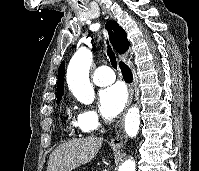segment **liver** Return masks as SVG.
I'll list each match as a JSON object with an SVG mask.
<instances>
[{"instance_id":"6515ba94","label":"liver","mask_w":199,"mask_h":171,"mask_svg":"<svg viewBox=\"0 0 199 171\" xmlns=\"http://www.w3.org/2000/svg\"><path fill=\"white\" fill-rule=\"evenodd\" d=\"M102 142V138L90 136L61 144L50 154L47 171H72L86 164L97 154Z\"/></svg>"}]
</instances>
